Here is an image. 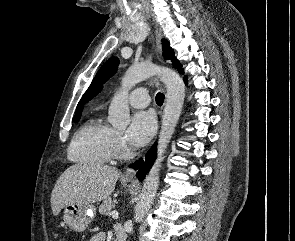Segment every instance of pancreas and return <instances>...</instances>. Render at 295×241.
<instances>
[{
  "instance_id": "1",
  "label": "pancreas",
  "mask_w": 295,
  "mask_h": 241,
  "mask_svg": "<svg viewBox=\"0 0 295 241\" xmlns=\"http://www.w3.org/2000/svg\"><path fill=\"white\" fill-rule=\"evenodd\" d=\"M114 208V202L111 199H105L99 206V213L102 215H109Z\"/></svg>"
}]
</instances>
